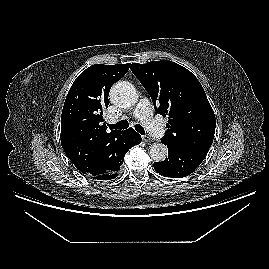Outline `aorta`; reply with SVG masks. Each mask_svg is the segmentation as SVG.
<instances>
[{
    "label": "aorta",
    "mask_w": 269,
    "mask_h": 269,
    "mask_svg": "<svg viewBox=\"0 0 269 269\" xmlns=\"http://www.w3.org/2000/svg\"><path fill=\"white\" fill-rule=\"evenodd\" d=\"M137 92L135 87L125 81L117 82L110 91L112 103L119 107H130L137 101ZM168 149L163 143H154L149 149V155L155 162L165 160Z\"/></svg>",
    "instance_id": "obj_1"
}]
</instances>
